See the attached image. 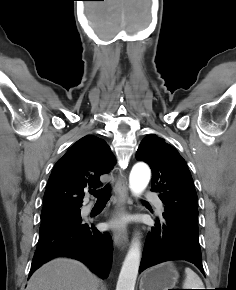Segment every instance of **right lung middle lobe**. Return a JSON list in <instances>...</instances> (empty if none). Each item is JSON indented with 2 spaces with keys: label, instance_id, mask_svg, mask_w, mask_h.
<instances>
[{
  "label": "right lung middle lobe",
  "instance_id": "dd1d6c3e",
  "mask_svg": "<svg viewBox=\"0 0 236 290\" xmlns=\"http://www.w3.org/2000/svg\"><path fill=\"white\" fill-rule=\"evenodd\" d=\"M80 210H66L41 215L40 234L48 231L80 223Z\"/></svg>",
  "mask_w": 236,
  "mask_h": 290
}]
</instances>
